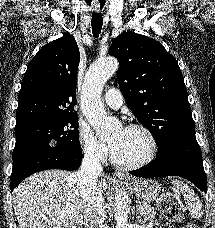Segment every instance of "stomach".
Returning a JSON list of instances; mask_svg holds the SVG:
<instances>
[{
    "instance_id": "obj_1",
    "label": "stomach",
    "mask_w": 215,
    "mask_h": 228,
    "mask_svg": "<svg viewBox=\"0 0 215 228\" xmlns=\"http://www.w3.org/2000/svg\"><path fill=\"white\" fill-rule=\"evenodd\" d=\"M126 178L129 180L128 176H126ZM122 184L123 182H121V186ZM128 186H130L133 194H135L137 198H141L143 202H154L162 192L158 182H154V180H144V178L143 180H133Z\"/></svg>"
}]
</instances>
